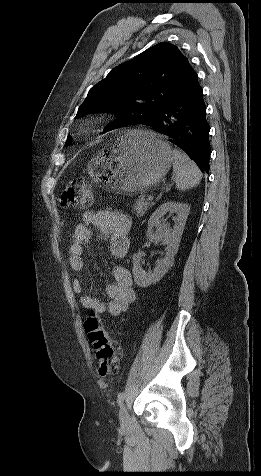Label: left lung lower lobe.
<instances>
[{"instance_id":"left-lung-lower-lobe-1","label":"left lung lower lobe","mask_w":261,"mask_h":476,"mask_svg":"<svg viewBox=\"0 0 261 476\" xmlns=\"http://www.w3.org/2000/svg\"><path fill=\"white\" fill-rule=\"evenodd\" d=\"M143 125L151 126L208 173L211 154L206 106L196 72L165 110Z\"/></svg>"}]
</instances>
